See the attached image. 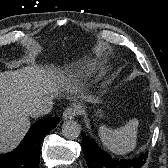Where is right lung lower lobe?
I'll return each instance as SVG.
<instances>
[{
    "label": "right lung lower lobe",
    "instance_id": "98d812e1",
    "mask_svg": "<svg viewBox=\"0 0 168 168\" xmlns=\"http://www.w3.org/2000/svg\"><path fill=\"white\" fill-rule=\"evenodd\" d=\"M58 122V117H52L33 124L18 148L8 154H0V168H38L41 141Z\"/></svg>",
    "mask_w": 168,
    "mask_h": 168
}]
</instances>
